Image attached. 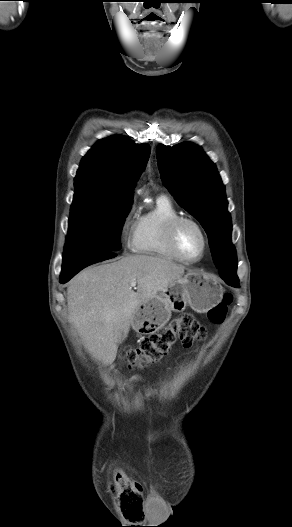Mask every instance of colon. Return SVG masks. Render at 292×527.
Masks as SVG:
<instances>
[{
	"mask_svg": "<svg viewBox=\"0 0 292 527\" xmlns=\"http://www.w3.org/2000/svg\"><path fill=\"white\" fill-rule=\"evenodd\" d=\"M231 300V295L225 294L223 300L208 312V319L214 324L222 323ZM205 337V327L193 315L184 314L145 338L137 347L128 349L125 352V359L130 367H145L162 359L177 342L190 348ZM122 485L124 490L119 497L122 508L131 512V504H134L141 511V491L137 484L126 480Z\"/></svg>",
	"mask_w": 292,
	"mask_h": 527,
	"instance_id": "5ec220e1",
	"label": "colon"
}]
</instances>
